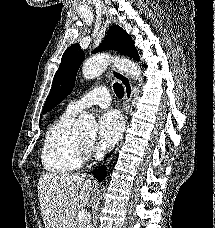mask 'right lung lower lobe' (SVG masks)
<instances>
[{"instance_id":"right-lung-lower-lobe-1","label":"right lung lower lobe","mask_w":215,"mask_h":228,"mask_svg":"<svg viewBox=\"0 0 215 228\" xmlns=\"http://www.w3.org/2000/svg\"><path fill=\"white\" fill-rule=\"evenodd\" d=\"M106 167L105 166H101L98 169H95L93 171V174L95 176V178H97L100 181H103L106 177Z\"/></svg>"}]
</instances>
